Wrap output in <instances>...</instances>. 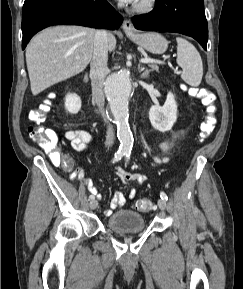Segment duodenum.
Segmentation results:
<instances>
[{"mask_svg":"<svg viewBox=\"0 0 243 289\" xmlns=\"http://www.w3.org/2000/svg\"><path fill=\"white\" fill-rule=\"evenodd\" d=\"M87 80H88V77L86 76V77H85V81H87Z\"/></svg>","mask_w":243,"mask_h":289,"instance_id":"duodenum-1","label":"duodenum"}]
</instances>
